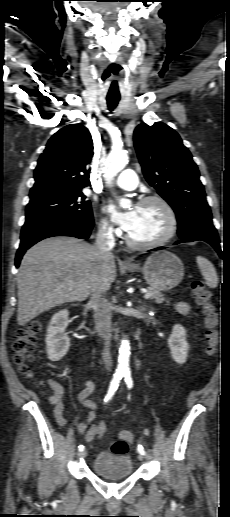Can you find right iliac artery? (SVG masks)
Wrapping results in <instances>:
<instances>
[{"instance_id": "right-iliac-artery-1", "label": "right iliac artery", "mask_w": 230, "mask_h": 517, "mask_svg": "<svg viewBox=\"0 0 230 517\" xmlns=\"http://www.w3.org/2000/svg\"><path fill=\"white\" fill-rule=\"evenodd\" d=\"M122 376H123V372L119 371V370L116 371L115 374L113 375V378H112V381L110 383L108 392H107V394L105 396V399H104L105 402L109 401L113 397L115 391L117 390V388L119 386V383H120V380L122 379ZM78 448H79V451H83L84 450V446L83 445H80Z\"/></svg>"}]
</instances>
